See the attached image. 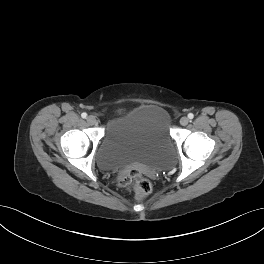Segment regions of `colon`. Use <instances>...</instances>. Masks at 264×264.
I'll return each mask as SVG.
<instances>
[{"label":"colon","instance_id":"colon-1","mask_svg":"<svg viewBox=\"0 0 264 264\" xmlns=\"http://www.w3.org/2000/svg\"><path fill=\"white\" fill-rule=\"evenodd\" d=\"M123 184L132 187L138 196L147 195L152 189L150 181L143 177L137 170H132L124 178Z\"/></svg>","mask_w":264,"mask_h":264}]
</instances>
